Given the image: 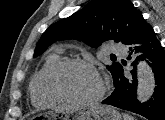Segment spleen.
<instances>
[{"instance_id":"3e777b00","label":"spleen","mask_w":165,"mask_h":120,"mask_svg":"<svg viewBox=\"0 0 165 120\" xmlns=\"http://www.w3.org/2000/svg\"><path fill=\"white\" fill-rule=\"evenodd\" d=\"M123 118H124V120H134V118H132L130 115H128V114H124L123 115Z\"/></svg>"}]
</instances>
